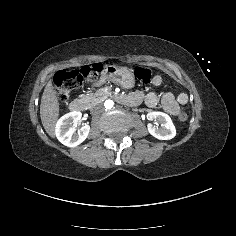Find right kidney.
<instances>
[{
  "mask_svg": "<svg viewBox=\"0 0 236 236\" xmlns=\"http://www.w3.org/2000/svg\"><path fill=\"white\" fill-rule=\"evenodd\" d=\"M82 117L81 112L73 111L62 116L56 124V137L65 146L76 147L88 136L90 126L85 125L76 132L75 125Z\"/></svg>",
  "mask_w": 236,
  "mask_h": 236,
  "instance_id": "ca27d5eb",
  "label": "right kidney"
}]
</instances>
